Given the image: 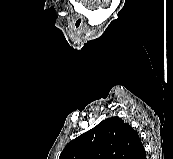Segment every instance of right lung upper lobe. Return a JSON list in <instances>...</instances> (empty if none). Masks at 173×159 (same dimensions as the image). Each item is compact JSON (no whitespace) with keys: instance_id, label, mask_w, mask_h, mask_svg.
I'll return each mask as SVG.
<instances>
[{"instance_id":"1","label":"right lung upper lobe","mask_w":173,"mask_h":159,"mask_svg":"<svg viewBox=\"0 0 173 159\" xmlns=\"http://www.w3.org/2000/svg\"><path fill=\"white\" fill-rule=\"evenodd\" d=\"M144 154L137 132L111 117L69 142L59 159H141Z\"/></svg>"}]
</instances>
